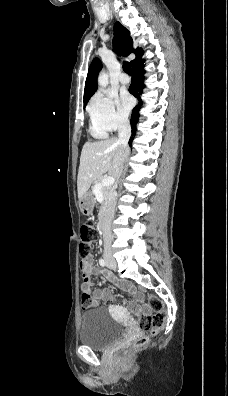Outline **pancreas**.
<instances>
[{"label": "pancreas", "instance_id": "pancreas-1", "mask_svg": "<svg viewBox=\"0 0 228 396\" xmlns=\"http://www.w3.org/2000/svg\"><path fill=\"white\" fill-rule=\"evenodd\" d=\"M101 181H102L101 179H98V180L94 181V185L92 186V192H93L94 195H96L98 193V191H100L102 196H103V203H102L101 208H100L99 218L102 217L104 211L106 210L108 198H109V196L112 193V188L110 186L98 188V186L101 183Z\"/></svg>", "mask_w": 228, "mask_h": 396}]
</instances>
